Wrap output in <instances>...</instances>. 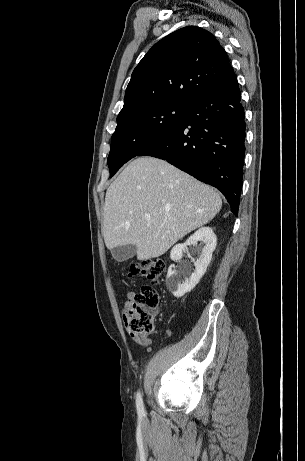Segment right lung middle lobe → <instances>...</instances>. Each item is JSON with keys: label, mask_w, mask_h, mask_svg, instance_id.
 Instances as JSON below:
<instances>
[{"label": "right lung middle lobe", "mask_w": 305, "mask_h": 461, "mask_svg": "<svg viewBox=\"0 0 305 461\" xmlns=\"http://www.w3.org/2000/svg\"><path fill=\"white\" fill-rule=\"evenodd\" d=\"M188 109L187 103L166 102L118 119L108 156L110 177L124 163L175 130Z\"/></svg>", "instance_id": "1"}]
</instances>
